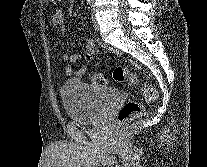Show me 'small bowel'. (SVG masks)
Returning <instances> with one entry per match:
<instances>
[{"mask_svg":"<svg viewBox=\"0 0 207 167\" xmlns=\"http://www.w3.org/2000/svg\"><path fill=\"white\" fill-rule=\"evenodd\" d=\"M57 3L58 0H51ZM52 23L58 31H64L65 19L62 11L57 10L52 16ZM96 46L92 39H88L85 45V51L82 54L62 53V60L66 64L65 73L68 76H82L86 72V64L90 63L95 56ZM76 63H79L75 65Z\"/></svg>","mask_w":207,"mask_h":167,"instance_id":"small-bowel-1","label":"small bowel"}]
</instances>
